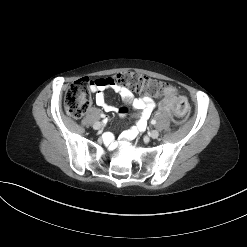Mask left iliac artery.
I'll return each mask as SVG.
<instances>
[{"instance_id":"left-iliac-artery-1","label":"left iliac artery","mask_w":247,"mask_h":247,"mask_svg":"<svg viewBox=\"0 0 247 247\" xmlns=\"http://www.w3.org/2000/svg\"><path fill=\"white\" fill-rule=\"evenodd\" d=\"M151 124L155 125L156 124V120L152 119L151 120Z\"/></svg>"}]
</instances>
